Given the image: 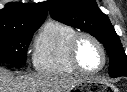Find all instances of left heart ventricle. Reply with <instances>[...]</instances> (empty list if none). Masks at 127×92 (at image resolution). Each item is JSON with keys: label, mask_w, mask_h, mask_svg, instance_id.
I'll return each mask as SVG.
<instances>
[{"label": "left heart ventricle", "mask_w": 127, "mask_h": 92, "mask_svg": "<svg viewBox=\"0 0 127 92\" xmlns=\"http://www.w3.org/2000/svg\"><path fill=\"white\" fill-rule=\"evenodd\" d=\"M77 56L81 66L87 70L98 69L103 61L99 48L86 38L79 42Z\"/></svg>", "instance_id": "left-heart-ventricle-1"}]
</instances>
